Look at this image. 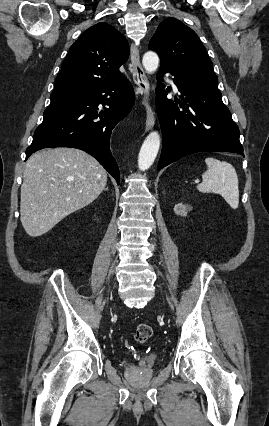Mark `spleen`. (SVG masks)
<instances>
[{
    "instance_id": "obj_1",
    "label": "spleen",
    "mask_w": 269,
    "mask_h": 426,
    "mask_svg": "<svg viewBox=\"0 0 269 426\" xmlns=\"http://www.w3.org/2000/svg\"><path fill=\"white\" fill-rule=\"evenodd\" d=\"M208 167L202 174V183L197 189L202 193L220 194L231 208L239 206V185L235 168L228 162L208 157L205 159Z\"/></svg>"
}]
</instances>
